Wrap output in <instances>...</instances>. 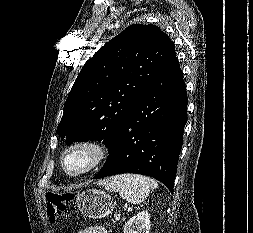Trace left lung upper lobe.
I'll list each match as a JSON object with an SVG mask.
<instances>
[{
	"label": "left lung upper lobe",
	"instance_id": "5c2ea615",
	"mask_svg": "<svg viewBox=\"0 0 253 233\" xmlns=\"http://www.w3.org/2000/svg\"><path fill=\"white\" fill-rule=\"evenodd\" d=\"M175 55L173 42L158 26L127 27L82 67L58 135L67 145L103 140L110 148L127 116Z\"/></svg>",
	"mask_w": 253,
	"mask_h": 233
}]
</instances>
